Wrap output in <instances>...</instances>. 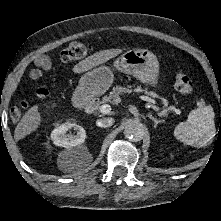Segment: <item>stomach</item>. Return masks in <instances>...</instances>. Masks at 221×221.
I'll use <instances>...</instances> for the list:
<instances>
[{
  "mask_svg": "<svg viewBox=\"0 0 221 221\" xmlns=\"http://www.w3.org/2000/svg\"><path fill=\"white\" fill-rule=\"evenodd\" d=\"M114 67L130 74L143 83L156 85L159 73V62L151 51L132 49L123 53L114 61ZM114 75L107 66H98L87 71L79 80L74 95L88 102L104 94L112 85Z\"/></svg>",
  "mask_w": 221,
  "mask_h": 221,
  "instance_id": "obj_1",
  "label": "stomach"
}]
</instances>
